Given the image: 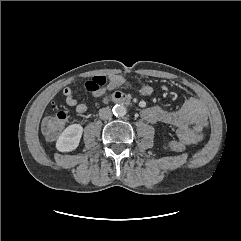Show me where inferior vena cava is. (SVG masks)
I'll use <instances>...</instances> for the list:
<instances>
[{
	"instance_id": "obj_1",
	"label": "inferior vena cava",
	"mask_w": 241,
	"mask_h": 241,
	"mask_svg": "<svg viewBox=\"0 0 241 241\" xmlns=\"http://www.w3.org/2000/svg\"><path fill=\"white\" fill-rule=\"evenodd\" d=\"M99 116L102 120H108L112 118V111L110 108L106 107V108H102L99 111Z\"/></svg>"
}]
</instances>
